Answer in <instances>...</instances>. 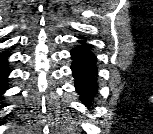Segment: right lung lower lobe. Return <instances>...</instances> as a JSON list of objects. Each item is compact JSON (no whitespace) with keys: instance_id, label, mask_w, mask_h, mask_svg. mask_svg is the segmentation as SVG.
<instances>
[{"instance_id":"right-lung-lower-lobe-1","label":"right lung lower lobe","mask_w":153,"mask_h":134,"mask_svg":"<svg viewBox=\"0 0 153 134\" xmlns=\"http://www.w3.org/2000/svg\"><path fill=\"white\" fill-rule=\"evenodd\" d=\"M9 57V54H0V97L1 94L5 92L7 89V77L10 73V70L8 69V63L7 58ZM4 106L0 105V108Z\"/></svg>"}]
</instances>
